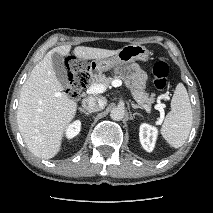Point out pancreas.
<instances>
[{
	"label": "pancreas",
	"instance_id": "obj_1",
	"mask_svg": "<svg viewBox=\"0 0 213 213\" xmlns=\"http://www.w3.org/2000/svg\"><path fill=\"white\" fill-rule=\"evenodd\" d=\"M117 78V77H116ZM114 78L107 77L104 74H99L95 77L92 84H103L106 87H110ZM127 82H129L127 80ZM131 94L135 101H137L142 107H150L155 102V94L149 95V93L144 90H139L135 87V83L131 85Z\"/></svg>",
	"mask_w": 213,
	"mask_h": 213
}]
</instances>
